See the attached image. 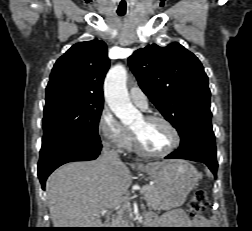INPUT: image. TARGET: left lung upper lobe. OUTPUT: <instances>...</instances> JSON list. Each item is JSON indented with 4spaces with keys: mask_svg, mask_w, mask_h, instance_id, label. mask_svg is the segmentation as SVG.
<instances>
[{
    "mask_svg": "<svg viewBox=\"0 0 252 231\" xmlns=\"http://www.w3.org/2000/svg\"><path fill=\"white\" fill-rule=\"evenodd\" d=\"M139 86L182 137L212 127L208 77L199 59L179 43L136 50L128 59Z\"/></svg>",
    "mask_w": 252,
    "mask_h": 231,
    "instance_id": "5c2ea615",
    "label": "left lung upper lobe"
}]
</instances>
